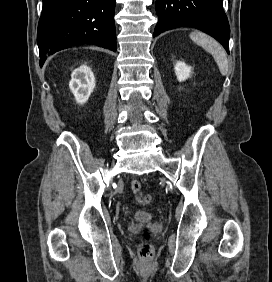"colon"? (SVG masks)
Segmentation results:
<instances>
[{"label":"colon","instance_id":"colon-1","mask_svg":"<svg viewBox=\"0 0 272 282\" xmlns=\"http://www.w3.org/2000/svg\"><path fill=\"white\" fill-rule=\"evenodd\" d=\"M130 188L133 194L136 195L141 202H143L144 204L150 202V196L148 195L145 196L142 194L141 184L137 180L131 181ZM141 237H142V244L140 245L139 248L140 256L143 261H149L153 255L152 246L150 244V234L144 231Z\"/></svg>","mask_w":272,"mask_h":282}]
</instances>
